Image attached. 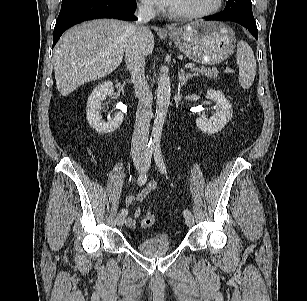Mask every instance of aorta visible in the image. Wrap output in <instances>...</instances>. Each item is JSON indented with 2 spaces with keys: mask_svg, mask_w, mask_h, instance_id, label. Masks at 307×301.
Listing matches in <instances>:
<instances>
[{
  "mask_svg": "<svg viewBox=\"0 0 307 301\" xmlns=\"http://www.w3.org/2000/svg\"><path fill=\"white\" fill-rule=\"evenodd\" d=\"M171 96V81L167 71H162L158 79L157 101L154 124L149 141L152 148L160 147L163 124L167 115Z\"/></svg>",
  "mask_w": 307,
  "mask_h": 301,
  "instance_id": "1",
  "label": "aorta"
}]
</instances>
